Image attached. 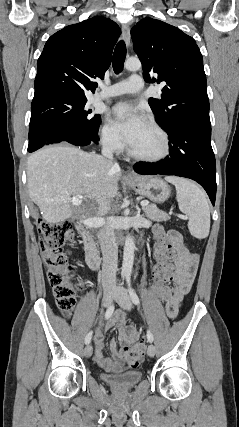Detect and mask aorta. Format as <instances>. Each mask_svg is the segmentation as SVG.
I'll use <instances>...</instances> for the list:
<instances>
[{
  "label": "aorta",
  "instance_id": "1",
  "mask_svg": "<svg viewBox=\"0 0 239 427\" xmlns=\"http://www.w3.org/2000/svg\"><path fill=\"white\" fill-rule=\"evenodd\" d=\"M124 67L129 71H138L141 68V62L137 58H129L125 61ZM135 244L131 235H127L124 244L122 276L129 277L132 273L134 263Z\"/></svg>",
  "mask_w": 239,
  "mask_h": 427
}]
</instances>
